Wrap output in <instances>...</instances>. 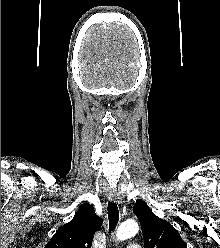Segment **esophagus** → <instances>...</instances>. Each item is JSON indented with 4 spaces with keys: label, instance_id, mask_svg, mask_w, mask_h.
Segmentation results:
<instances>
[{
    "label": "esophagus",
    "instance_id": "obj_1",
    "mask_svg": "<svg viewBox=\"0 0 220 248\" xmlns=\"http://www.w3.org/2000/svg\"><path fill=\"white\" fill-rule=\"evenodd\" d=\"M109 199L114 202H120L121 201L120 193L115 189H111L109 191Z\"/></svg>",
    "mask_w": 220,
    "mask_h": 248
}]
</instances>
